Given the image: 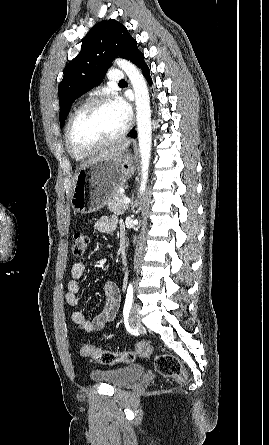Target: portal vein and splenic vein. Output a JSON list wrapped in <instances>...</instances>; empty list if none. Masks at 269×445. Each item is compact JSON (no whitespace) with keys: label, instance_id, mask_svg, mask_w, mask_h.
Returning <instances> with one entry per match:
<instances>
[{"label":"portal vein and splenic vein","instance_id":"portal-vein-and-splenic-vein-1","mask_svg":"<svg viewBox=\"0 0 269 445\" xmlns=\"http://www.w3.org/2000/svg\"><path fill=\"white\" fill-rule=\"evenodd\" d=\"M123 203L124 204H129L130 203V199L128 197L123 198Z\"/></svg>","mask_w":269,"mask_h":445}]
</instances>
